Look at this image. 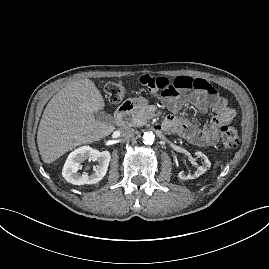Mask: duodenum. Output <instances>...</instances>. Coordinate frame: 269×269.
Segmentation results:
<instances>
[{
    "mask_svg": "<svg viewBox=\"0 0 269 269\" xmlns=\"http://www.w3.org/2000/svg\"><path fill=\"white\" fill-rule=\"evenodd\" d=\"M136 104L132 101L122 103L115 112V119L119 126L123 125L126 118L134 111Z\"/></svg>",
    "mask_w": 269,
    "mask_h": 269,
    "instance_id": "obj_1",
    "label": "duodenum"
}]
</instances>
